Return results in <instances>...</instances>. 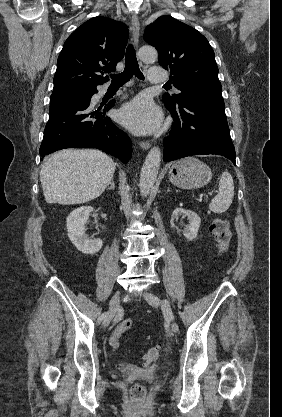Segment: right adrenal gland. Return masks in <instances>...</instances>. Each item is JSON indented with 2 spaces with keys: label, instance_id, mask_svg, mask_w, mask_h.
<instances>
[{
  "label": "right adrenal gland",
  "instance_id": "obj_1",
  "mask_svg": "<svg viewBox=\"0 0 282 417\" xmlns=\"http://www.w3.org/2000/svg\"><path fill=\"white\" fill-rule=\"evenodd\" d=\"M115 190V182H114V178H111V182H110V186H108L107 190Z\"/></svg>",
  "mask_w": 282,
  "mask_h": 417
}]
</instances>
